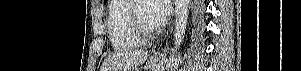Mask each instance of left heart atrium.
<instances>
[{
    "label": "left heart atrium",
    "mask_w": 301,
    "mask_h": 71,
    "mask_svg": "<svg viewBox=\"0 0 301 71\" xmlns=\"http://www.w3.org/2000/svg\"><path fill=\"white\" fill-rule=\"evenodd\" d=\"M150 11L156 28H161L166 23L170 13L171 4L169 0H150Z\"/></svg>",
    "instance_id": "left-heart-atrium-1"
}]
</instances>
